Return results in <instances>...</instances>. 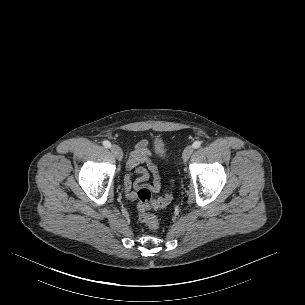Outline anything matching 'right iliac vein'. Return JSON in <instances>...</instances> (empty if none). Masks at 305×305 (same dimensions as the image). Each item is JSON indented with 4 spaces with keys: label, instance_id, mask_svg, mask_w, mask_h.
Returning a JSON list of instances; mask_svg holds the SVG:
<instances>
[{
    "label": "right iliac vein",
    "instance_id": "63e3f726",
    "mask_svg": "<svg viewBox=\"0 0 305 305\" xmlns=\"http://www.w3.org/2000/svg\"><path fill=\"white\" fill-rule=\"evenodd\" d=\"M111 152L113 153V155L118 159L121 160L123 157V153L122 150L119 146L117 145H112L111 146Z\"/></svg>",
    "mask_w": 305,
    "mask_h": 305
}]
</instances>
